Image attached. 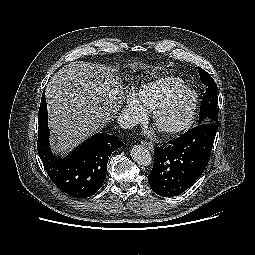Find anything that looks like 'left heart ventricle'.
Returning a JSON list of instances; mask_svg holds the SVG:
<instances>
[{
  "label": "left heart ventricle",
  "instance_id": "obj_1",
  "mask_svg": "<svg viewBox=\"0 0 255 255\" xmlns=\"http://www.w3.org/2000/svg\"><path fill=\"white\" fill-rule=\"evenodd\" d=\"M191 107V98L184 96L175 101L159 117L157 127L169 128L181 123L189 114Z\"/></svg>",
  "mask_w": 255,
  "mask_h": 255
}]
</instances>
